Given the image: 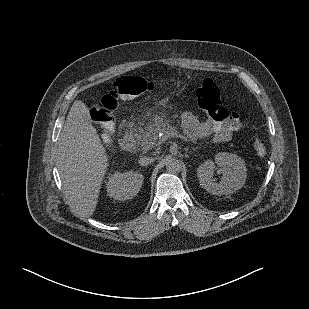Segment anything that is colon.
<instances>
[{
	"label": "colon",
	"instance_id": "1",
	"mask_svg": "<svg viewBox=\"0 0 309 309\" xmlns=\"http://www.w3.org/2000/svg\"><path fill=\"white\" fill-rule=\"evenodd\" d=\"M158 87V84L141 77L121 76L116 79L111 88L101 95L95 112V120L100 122L105 135L110 136L115 132L114 113L119 101L133 99ZM196 101L208 120L220 125L233 127L240 125L242 113L230 111L222 106L220 90L213 80L204 79L200 83L196 90ZM253 147L258 156L266 155V146L261 139H255Z\"/></svg>",
	"mask_w": 309,
	"mask_h": 309
}]
</instances>
